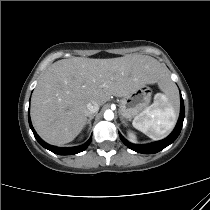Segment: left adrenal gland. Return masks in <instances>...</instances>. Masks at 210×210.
Instances as JSON below:
<instances>
[{
	"instance_id": "obj_1",
	"label": "left adrenal gland",
	"mask_w": 210,
	"mask_h": 210,
	"mask_svg": "<svg viewBox=\"0 0 210 210\" xmlns=\"http://www.w3.org/2000/svg\"><path fill=\"white\" fill-rule=\"evenodd\" d=\"M121 122L123 123V125L127 126V123L123 120L122 117H121Z\"/></svg>"
}]
</instances>
